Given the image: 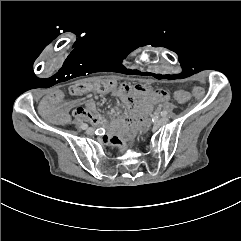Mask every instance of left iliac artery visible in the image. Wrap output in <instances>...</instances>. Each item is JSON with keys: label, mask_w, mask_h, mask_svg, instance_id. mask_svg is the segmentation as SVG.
Wrapping results in <instances>:
<instances>
[{"label": "left iliac artery", "mask_w": 241, "mask_h": 241, "mask_svg": "<svg viewBox=\"0 0 241 241\" xmlns=\"http://www.w3.org/2000/svg\"><path fill=\"white\" fill-rule=\"evenodd\" d=\"M166 115H167V112H166V111H162V112H161V116H162V117H165Z\"/></svg>", "instance_id": "obj_1"}]
</instances>
